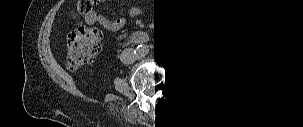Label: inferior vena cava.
Segmentation results:
<instances>
[{
  "label": "inferior vena cava",
  "instance_id": "obj_1",
  "mask_svg": "<svg viewBox=\"0 0 303 127\" xmlns=\"http://www.w3.org/2000/svg\"><path fill=\"white\" fill-rule=\"evenodd\" d=\"M139 58L138 53L133 48L125 49L120 56V60L124 64H132Z\"/></svg>",
  "mask_w": 303,
  "mask_h": 127
}]
</instances>
